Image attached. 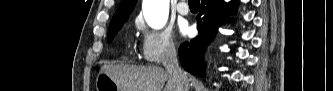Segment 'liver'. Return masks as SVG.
<instances>
[{
  "label": "liver",
  "instance_id": "6515ba94",
  "mask_svg": "<svg viewBox=\"0 0 333 91\" xmlns=\"http://www.w3.org/2000/svg\"><path fill=\"white\" fill-rule=\"evenodd\" d=\"M101 73L107 74L123 91H178V83L167 70L159 66H129L123 64H106ZM187 82L189 78L185 73Z\"/></svg>",
  "mask_w": 333,
  "mask_h": 91
}]
</instances>
